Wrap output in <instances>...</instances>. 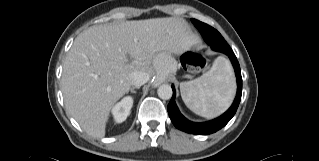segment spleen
Returning a JSON list of instances; mask_svg holds the SVG:
<instances>
[{"label":"spleen","mask_w":319,"mask_h":161,"mask_svg":"<svg viewBox=\"0 0 319 161\" xmlns=\"http://www.w3.org/2000/svg\"><path fill=\"white\" fill-rule=\"evenodd\" d=\"M235 88L232 67L224 57H218L202 76L180 84L185 105L206 118L218 116L229 107Z\"/></svg>","instance_id":"spleen-1"}]
</instances>
